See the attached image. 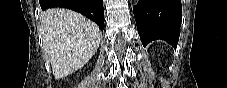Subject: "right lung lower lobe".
Wrapping results in <instances>:
<instances>
[{
  "instance_id": "obj_1",
  "label": "right lung lower lobe",
  "mask_w": 227,
  "mask_h": 88,
  "mask_svg": "<svg viewBox=\"0 0 227 88\" xmlns=\"http://www.w3.org/2000/svg\"><path fill=\"white\" fill-rule=\"evenodd\" d=\"M43 10L61 7L79 12L94 21L103 30V0H40Z\"/></svg>"
}]
</instances>
